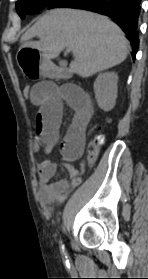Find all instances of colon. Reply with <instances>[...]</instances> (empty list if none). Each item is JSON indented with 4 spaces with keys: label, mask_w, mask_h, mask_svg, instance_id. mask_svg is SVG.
<instances>
[{
    "label": "colon",
    "mask_w": 148,
    "mask_h": 279,
    "mask_svg": "<svg viewBox=\"0 0 148 279\" xmlns=\"http://www.w3.org/2000/svg\"><path fill=\"white\" fill-rule=\"evenodd\" d=\"M32 92V86L24 85L22 88V93L25 97L30 98ZM104 142V136L102 134H97L90 141L87 146L86 155H85V163L88 165H92L98 156V152Z\"/></svg>",
    "instance_id": "colon-1"
}]
</instances>
